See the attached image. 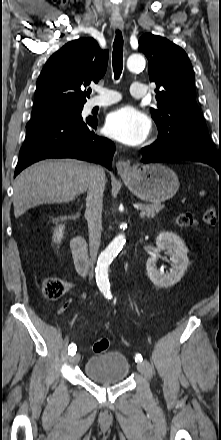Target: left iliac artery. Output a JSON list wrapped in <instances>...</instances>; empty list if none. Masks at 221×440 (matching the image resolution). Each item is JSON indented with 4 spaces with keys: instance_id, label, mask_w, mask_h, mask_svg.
Returning <instances> with one entry per match:
<instances>
[{
    "instance_id": "left-iliac-artery-1",
    "label": "left iliac artery",
    "mask_w": 221,
    "mask_h": 440,
    "mask_svg": "<svg viewBox=\"0 0 221 440\" xmlns=\"http://www.w3.org/2000/svg\"><path fill=\"white\" fill-rule=\"evenodd\" d=\"M142 360H143V358H142L141 354H137V355L135 356V361H136V362H142Z\"/></svg>"
}]
</instances>
